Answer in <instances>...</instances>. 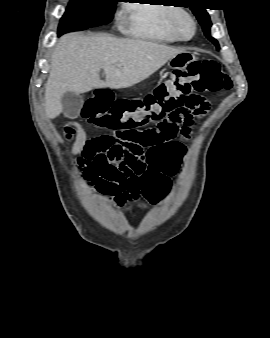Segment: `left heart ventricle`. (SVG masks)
<instances>
[{"label": "left heart ventricle", "instance_id": "b2bd125f", "mask_svg": "<svg viewBox=\"0 0 270 338\" xmlns=\"http://www.w3.org/2000/svg\"><path fill=\"white\" fill-rule=\"evenodd\" d=\"M180 32L184 36H188L191 33V25L187 20H183L180 24Z\"/></svg>", "mask_w": 270, "mask_h": 338}]
</instances>
